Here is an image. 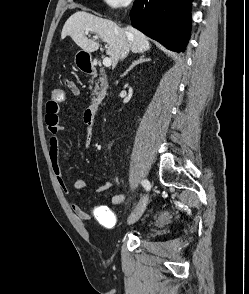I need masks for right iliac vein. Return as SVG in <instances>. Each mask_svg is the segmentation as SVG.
<instances>
[{
    "label": "right iliac vein",
    "mask_w": 249,
    "mask_h": 294,
    "mask_svg": "<svg viewBox=\"0 0 249 294\" xmlns=\"http://www.w3.org/2000/svg\"><path fill=\"white\" fill-rule=\"evenodd\" d=\"M147 202H148V195H145L140 202L138 203L137 207L135 208V210L131 213V215L128 218V224H134L135 222H137L140 217L142 216V214L144 213L146 206H147Z\"/></svg>",
    "instance_id": "63e3f726"
}]
</instances>
